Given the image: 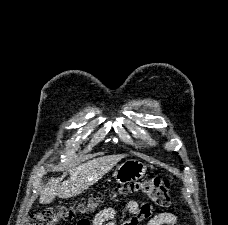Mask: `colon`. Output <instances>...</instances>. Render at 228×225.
<instances>
[{
    "mask_svg": "<svg viewBox=\"0 0 228 225\" xmlns=\"http://www.w3.org/2000/svg\"><path fill=\"white\" fill-rule=\"evenodd\" d=\"M136 185L137 190L149 195L158 205L166 206L172 201L171 183L168 179L148 178L142 182H137ZM87 207L96 208V201L92 200V203H88ZM84 212V210H81V213ZM66 217L67 214L53 208L39 209L31 215L27 225H61L62 220ZM69 224L91 225V222L87 218H82Z\"/></svg>",
    "mask_w": 228,
    "mask_h": 225,
    "instance_id": "1",
    "label": "colon"
}]
</instances>
